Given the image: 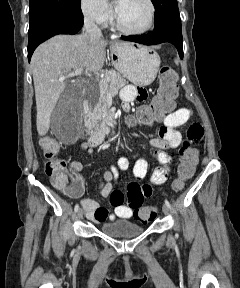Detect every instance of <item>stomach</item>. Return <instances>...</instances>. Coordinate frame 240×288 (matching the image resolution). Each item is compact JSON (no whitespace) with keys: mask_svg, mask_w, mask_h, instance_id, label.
<instances>
[{"mask_svg":"<svg viewBox=\"0 0 240 288\" xmlns=\"http://www.w3.org/2000/svg\"><path fill=\"white\" fill-rule=\"evenodd\" d=\"M111 60L124 77L138 86L151 84L160 66V57L153 49L129 42L113 44Z\"/></svg>","mask_w":240,"mask_h":288,"instance_id":"0dacf381","label":"stomach"}]
</instances>
